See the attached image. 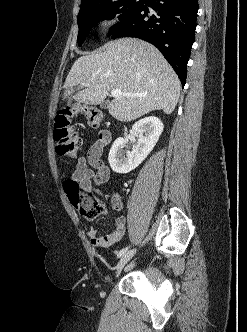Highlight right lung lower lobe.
Segmentation results:
<instances>
[{
    "label": "right lung lower lobe",
    "instance_id": "98d812e1",
    "mask_svg": "<svg viewBox=\"0 0 247 332\" xmlns=\"http://www.w3.org/2000/svg\"><path fill=\"white\" fill-rule=\"evenodd\" d=\"M198 9V0H145L137 12L113 29L112 38L138 37L152 43L173 67L184 86Z\"/></svg>",
    "mask_w": 247,
    "mask_h": 332
}]
</instances>
